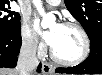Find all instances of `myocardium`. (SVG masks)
I'll return each mask as SVG.
<instances>
[{"label": "myocardium", "mask_w": 102, "mask_h": 75, "mask_svg": "<svg viewBox=\"0 0 102 75\" xmlns=\"http://www.w3.org/2000/svg\"><path fill=\"white\" fill-rule=\"evenodd\" d=\"M61 25L72 27V28H75L76 30H78V32L80 33L82 40H83V51L79 57H77L74 60L69 61V60H64V59L60 58L59 56H57L56 53L54 52V50L52 49V47H50V49H49L50 56L53 61H55L56 63H59L61 65H64V66H73V65L79 64L87 58V56L90 52L89 37H88L85 29L74 20H64L61 23Z\"/></svg>", "instance_id": "1"}]
</instances>
